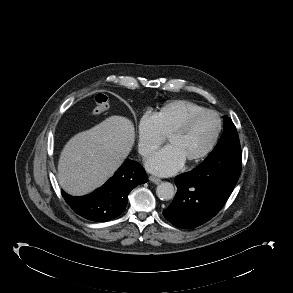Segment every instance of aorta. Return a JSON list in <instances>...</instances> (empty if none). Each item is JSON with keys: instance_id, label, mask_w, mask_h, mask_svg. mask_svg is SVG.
<instances>
[{"instance_id": "aorta-1", "label": "aorta", "mask_w": 293, "mask_h": 293, "mask_svg": "<svg viewBox=\"0 0 293 293\" xmlns=\"http://www.w3.org/2000/svg\"><path fill=\"white\" fill-rule=\"evenodd\" d=\"M156 195L161 200H171L175 195L174 186L169 182H162L156 188Z\"/></svg>"}]
</instances>
